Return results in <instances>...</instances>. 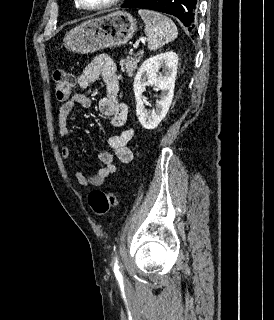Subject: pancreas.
Returning a JSON list of instances; mask_svg holds the SVG:
<instances>
[{
    "mask_svg": "<svg viewBox=\"0 0 274 320\" xmlns=\"http://www.w3.org/2000/svg\"><path fill=\"white\" fill-rule=\"evenodd\" d=\"M142 56V52H138V54H133V56H127L126 60H120V66L128 74L129 78L133 76V72H135Z\"/></svg>",
    "mask_w": 274,
    "mask_h": 320,
    "instance_id": "1",
    "label": "pancreas"
}]
</instances>
